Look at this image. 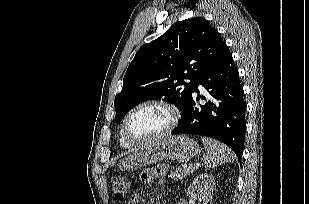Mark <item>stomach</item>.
<instances>
[{"label":"stomach","mask_w":309,"mask_h":204,"mask_svg":"<svg viewBox=\"0 0 309 204\" xmlns=\"http://www.w3.org/2000/svg\"><path fill=\"white\" fill-rule=\"evenodd\" d=\"M198 152V143L186 135L163 137L142 145L120 160L118 167L122 171H132L163 160L186 162Z\"/></svg>","instance_id":"0dacf381"}]
</instances>
